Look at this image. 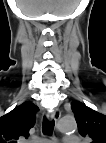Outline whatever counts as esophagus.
<instances>
[{
    "label": "esophagus",
    "mask_w": 106,
    "mask_h": 143,
    "mask_svg": "<svg viewBox=\"0 0 106 143\" xmlns=\"http://www.w3.org/2000/svg\"><path fill=\"white\" fill-rule=\"evenodd\" d=\"M60 117H61V111L58 108H56L53 112L48 113L47 115V119L49 121H54L55 123L59 121Z\"/></svg>",
    "instance_id": "1"
}]
</instances>
